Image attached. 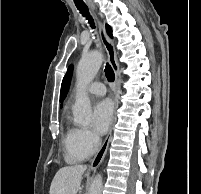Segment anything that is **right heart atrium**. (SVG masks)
Here are the masks:
<instances>
[{
	"mask_svg": "<svg viewBox=\"0 0 201 194\" xmlns=\"http://www.w3.org/2000/svg\"><path fill=\"white\" fill-rule=\"evenodd\" d=\"M100 144L99 137L88 128H76L74 132V146L75 148L84 153L92 154Z\"/></svg>",
	"mask_w": 201,
	"mask_h": 194,
	"instance_id": "right-heart-atrium-1",
	"label": "right heart atrium"
}]
</instances>
